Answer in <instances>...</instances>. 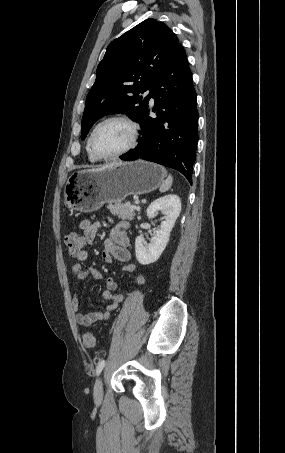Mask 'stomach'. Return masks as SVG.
Segmentation results:
<instances>
[{
    "label": "stomach",
    "instance_id": "stomach-1",
    "mask_svg": "<svg viewBox=\"0 0 285 453\" xmlns=\"http://www.w3.org/2000/svg\"><path fill=\"white\" fill-rule=\"evenodd\" d=\"M166 169L144 160L109 164L98 171L74 172L65 187L66 204L80 212H93L105 203H121L129 195L158 188Z\"/></svg>",
    "mask_w": 285,
    "mask_h": 453
}]
</instances>
